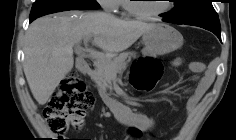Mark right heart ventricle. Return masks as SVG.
Segmentation results:
<instances>
[{
  "label": "right heart ventricle",
  "instance_id": "obj_1",
  "mask_svg": "<svg viewBox=\"0 0 236 140\" xmlns=\"http://www.w3.org/2000/svg\"><path fill=\"white\" fill-rule=\"evenodd\" d=\"M126 0H117L118 7L121 6L126 9Z\"/></svg>",
  "mask_w": 236,
  "mask_h": 140
}]
</instances>
